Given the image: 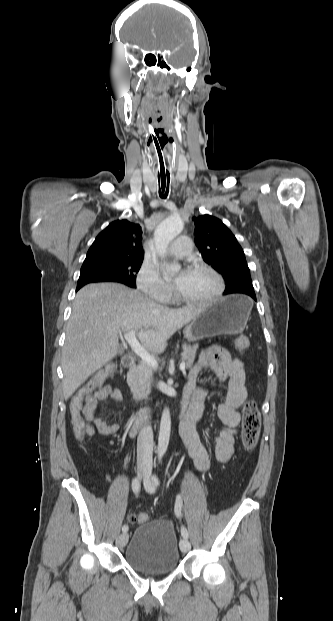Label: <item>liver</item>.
<instances>
[{
  "label": "liver",
  "mask_w": 333,
  "mask_h": 621,
  "mask_svg": "<svg viewBox=\"0 0 333 621\" xmlns=\"http://www.w3.org/2000/svg\"><path fill=\"white\" fill-rule=\"evenodd\" d=\"M204 307L170 309L121 284L97 283L80 289L62 349L65 400L117 355L121 332L134 330L147 350L162 353L167 340Z\"/></svg>",
  "instance_id": "obj_1"
}]
</instances>
